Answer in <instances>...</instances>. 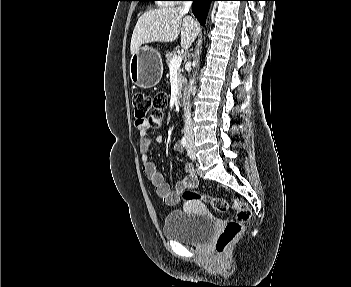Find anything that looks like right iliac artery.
I'll list each match as a JSON object with an SVG mask.
<instances>
[{
	"instance_id": "1",
	"label": "right iliac artery",
	"mask_w": 351,
	"mask_h": 287,
	"mask_svg": "<svg viewBox=\"0 0 351 287\" xmlns=\"http://www.w3.org/2000/svg\"><path fill=\"white\" fill-rule=\"evenodd\" d=\"M181 143H182L183 147H186V146H187V139H186V136H184V137L181 139Z\"/></svg>"
}]
</instances>
